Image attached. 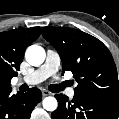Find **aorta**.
<instances>
[{
    "label": "aorta",
    "mask_w": 119,
    "mask_h": 119,
    "mask_svg": "<svg viewBox=\"0 0 119 119\" xmlns=\"http://www.w3.org/2000/svg\"><path fill=\"white\" fill-rule=\"evenodd\" d=\"M25 57L27 62L32 66L41 65L46 57L44 48L38 45H31L27 48ZM58 106V102L54 97H46L43 100V108L47 111H54Z\"/></svg>",
    "instance_id": "aorta-1"
}]
</instances>
